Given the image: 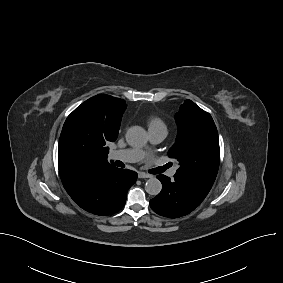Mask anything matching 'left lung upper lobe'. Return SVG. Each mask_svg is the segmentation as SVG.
Masks as SVG:
<instances>
[{"mask_svg": "<svg viewBox=\"0 0 283 283\" xmlns=\"http://www.w3.org/2000/svg\"><path fill=\"white\" fill-rule=\"evenodd\" d=\"M178 134L168 151L180 167L176 176L194 184L208 194L217 175L220 161L218 132L210 114L191 100L176 113Z\"/></svg>", "mask_w": 283, "mask_h": 283, "instance_id": "5c2ea615", "label": "left lung upper lobe"}]
</instances>
